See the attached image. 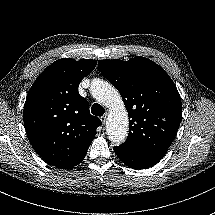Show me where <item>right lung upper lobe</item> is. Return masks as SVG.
<instances>
[{"label": "right lung upper lobe", "instance_id": "1", "mask_svg": "<svg viewBox=\"0 0 215 215\" xmlns=\"http://www.w3.org/2000/svg\"><path fill=\"white\" fill-rule=\"evenodd\" d=\"M96 60L63 58L49 65L28 91L24 126L35 151L51 166L73 168L85 157L99 118L89 112L88 101L78 93L80 81Z\"/></svg>", "mask_w": 215, "mask_h": 215}]
</instances>
